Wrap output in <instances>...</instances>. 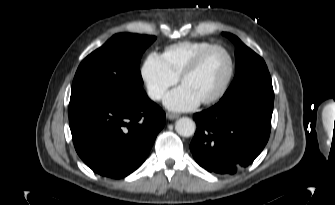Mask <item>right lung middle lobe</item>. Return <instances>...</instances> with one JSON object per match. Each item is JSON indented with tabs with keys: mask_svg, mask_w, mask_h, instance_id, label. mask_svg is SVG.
Instances as JSON below:
<instances>
[{
	"mask_svg": "<svg viewBox=\"0 0 335 205\" xmlns=\"http://www.w3.org/2000/svg\"><path fill=\"white\" fill-rule=\"evenodd\" d=\"M155 36L119 33L88 55L72 83L70 102L88 97H132L144 92L139 70Z\"/></svg>",
	"mask_w": 335,
	"mask_h": 205,
	"instance_id": "1",
	"label": "right lung middle lobe"
}]
</instances>
